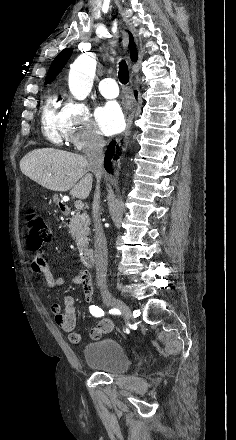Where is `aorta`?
I'll use <instances>...</instances> for the list:
<instances>
[{"instance_id":"762f6f07","label":"aorta","mask_w":236,"mask_h":440,"mask_svg":"<svg viewBox=\"0 0 236 440\" xmlns=\"http://www.w3.org/2000/svg\"><path fill=\"white\" fill-rule=\"evenodd\" d=\"M96 70V60L91 54L80 55L71 65L68 85L77 100H84L90 93Z\"/></svg>"}]
</instances>
